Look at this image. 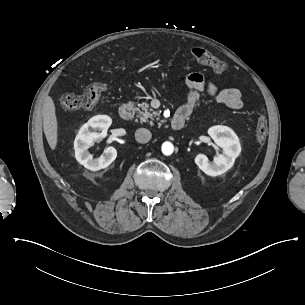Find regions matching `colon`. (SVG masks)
<instances>
[{
    "mask_svg": "<svg viewBox=\"0 0 305 305\" xmlns=\"http://www.w3.org/2000/svg\"><path fill=\"white\" fill-rule=\"evenodd\" d=\"M194 58L201 64L209 66L215 73H224L227 66L221 60L215 58L206 48L195 47L193 49ZM107 90V84L104 81H94L86 85L81 96L74 94H63L60 102L63 108L68 110L74 109H91L100 99L101 95ZM268 132L267 118L260 114L256 120L255 138L259 145H263Z\"/></svg>",
    "mask_w": 305,
    "mask_h": 305,
    "instance_id": "colon-1",
    "label": "colon"
}]
</instances>
